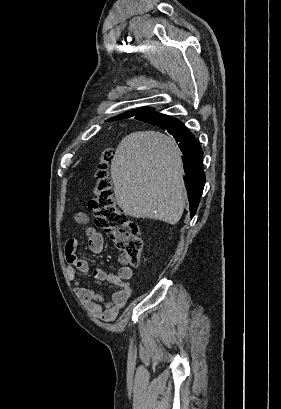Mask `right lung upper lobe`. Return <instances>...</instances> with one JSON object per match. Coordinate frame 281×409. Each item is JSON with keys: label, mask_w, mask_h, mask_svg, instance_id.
Instances as JSON below:
<instances>
[{"label": "right lung upper lobe", "mask_w": 281, "mask_h": 409, "mask_svg": "<svg viewBox=\"0 0 281 409\" xmlns=\"http://www.w3.org/2000/svg\"><path fill=\"white\" fill-rule=\"evenodd\" d=\"M149 111H152V109L151 108H140V109H137V110L129 111V112L124 113V114H122L120 116L114 117V118H112L110 120L123 119V118L135 116V115L142 114V113L149 112Z\"/></svg>", "instance_id": "1"}]
</instances>
